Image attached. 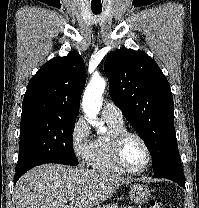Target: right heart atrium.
I'll list each match as a JSON object with an SVG mask.
<instances>
[{"label": "right heart atrium", "mask_w": 199, "mask_h": 208, "mask_svg": "<svg viewBox=\"0 0 199 208\" xmlns=\"http://www.w3.org/2000/svg\"><path fill=\"white\" fill-rule=\"evenodd\" d=\"M70 140L72 150L83 165L90 162L93 151V139L91 129L85 118L78 117L71 128Z\"/></svg>", "instance_id": "1"}]
</instances>
